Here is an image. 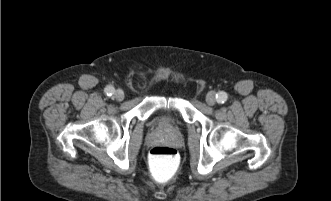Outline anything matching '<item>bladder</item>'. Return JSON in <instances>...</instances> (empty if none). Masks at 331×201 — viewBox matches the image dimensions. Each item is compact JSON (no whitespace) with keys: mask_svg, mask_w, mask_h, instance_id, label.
<instances>
[{"mask_svg":"<svg viewBox=\"0 0 331 201\" xmlns=\"http://www.w3.org/2000/svg\"><path fill=\"white\" fill-rule=\"evenodd\" d=\"M160 103L156 110L157 114H174L175 110L180 106V95L174 91L163 92Z\"/></svg>","mask_w":331,"mask_h":201,"instance_id":"obj_1","label":"bladder"}]
</instances>
